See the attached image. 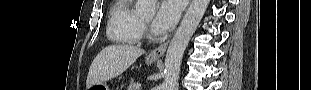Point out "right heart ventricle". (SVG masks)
I'll list each match as a JSON object with an SVG mask.
<instances>
[{
    "mask_svg": "<svg viewBox=\"0 0 311 90\" xmlns=\"http://www.w3.org/2000/svg\"><path fill=\"white\" fill-rule=\"evenodd\" d=\"M106 33L110 40L121 44L133 45L140 41L142 23L131 1L119 0L111 8Z\"/></svg>",
    "mask_w": 311,
    "mask_h": 90,
    "instance_id": "obj_1",
    "label": "right heart ventricle"
}]
</instances>
